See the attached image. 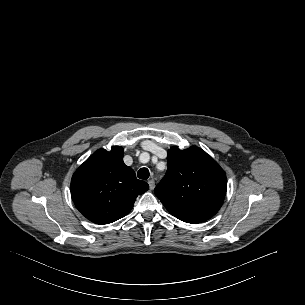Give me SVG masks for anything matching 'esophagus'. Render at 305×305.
Segmentation results:
<instances>
[{
	"label": "esophagus",
	"instance_id": "34e87169",
	"mask_svg": "<svg viewBox=\"0 0 305 305\" xmlns=\"http://www.w3.org/2000/svg\"><path fill=\"white\" fill-rule=\"evenodd\" d=\"M148 184H149L150 190H153L155 188V181H154V179H150L148 181Z\"/></svg>",
	"mask_w": 305,
	"mask_h": 305
}]
</instances>
